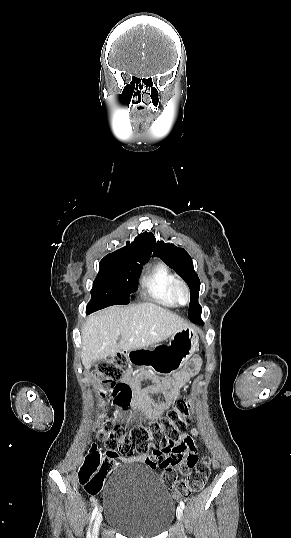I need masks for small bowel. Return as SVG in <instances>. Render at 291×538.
<instances>
[{
	"label": "small bowel",
	"mask_w": 291,
	"mask_h": 538,
	"mask_svg": "<svg viewBox=\"0 0 291 538\" xmlns=\"http://www.w3.org/2000/svg\"><path fill=\"white\" fill-rule=\"evenodd\" d=\"M201 371L200 361L196 355L191 354L187 358V363H179L177 369L172 372V377H164L161 380L153 379L152 384L145 388H141V383L147 379L144 374L133 375L129 370L125 373L122 383L127 384L132 391V412L127 413L121 411L118 407L115 410L116 418L130 424L134 419L145 417L147 419L159 418L165 410L171 406L180 396L182 390L186 387L188 381L195 376H198ZM162 395L164 401L156 403L152 400V395ZM198 431L195 428L190 430L189 434H182L180 442L188 445V447L196 452L197 447L194 438ZM122 461L125 463L141 462L150 468L158 466L149 463L150 456H122ZM189 469L186 465L179 466L177 470L181 473Z\"/></svg>",
	"instance_id": "1"
}]
</instances>
